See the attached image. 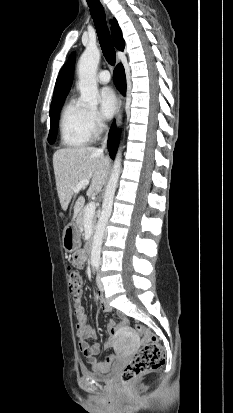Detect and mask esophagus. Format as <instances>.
Listing matches in <instances>:
<instances>
[{
	"label": "esophagus",
	"mask_w": 233,
	"mask_h": 413,
	"mask_svg": "<svg viewBox=\"0 0 233 413\" xmlns=\"http://www.w3.org/2000/svg\"><path fill=\"white\" fill-rule=\"evenodd\" d=\"M101 2L103 3V0H101ZM104 4V3H103ZM119 59H117V64H119ZM123 95L121 93H119L118 96V108H117V115H116V125L118 126L121 122V118H122V112H123Z\"/></svg>",
	"instance_id": "34e87169"
}]
</instances>
